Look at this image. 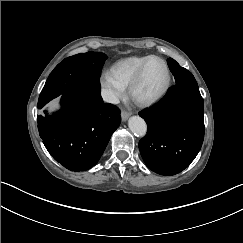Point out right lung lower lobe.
I'll use <instances>...</instances> for the list:
<instances>
[{"instance_id":"98d812e1","label":"right lung lower lobe","mask_w":243,"mask_h":243,"mask_svg":"<svg viewBox=\"0 0 243 243\" xmlns=\"http://www.w3.org/2000/svg\"><path fill=\"white\" fill-rule=\"evenodd\" d=\"M62 109L37 117L38 130L52 157L71 171H85L100 159L121 122L120 110L104 103L100 90L72 87L61 94Z\"/></svg>"}]
</instances>
